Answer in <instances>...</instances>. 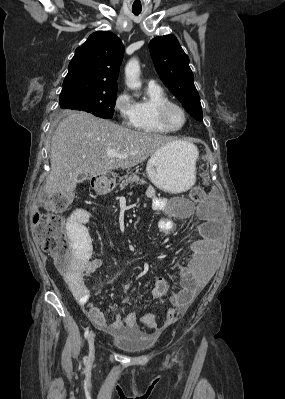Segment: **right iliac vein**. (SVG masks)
Returning <instances> with one entry per match:
<instances>
[{"mask_svg": "<svg viewBox=\"0 0 285 399\" xmlns=\"http://www.w3.org/2000/svg\"><path fill=\"white\" fill-rule=\"evenodd\" d=\"M88 347H89V359L95 356V334L93 331L88 336Z\"/></svg>", "mask_w": 285, "mask_h": 399, "instance_id": "1", "label": "right iliac vein"}]
</instances>
